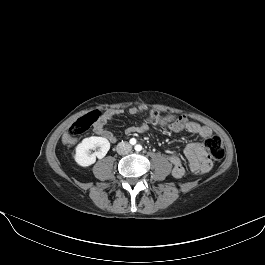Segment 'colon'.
<instances>
[{
	"mask_svg": "<svg viewBox=\"0 0 265 265\" xmlns=\"http://www.w3.org/2000/svg\"><path fill=\"white\" fill-rule=\"evenodd\" d=\"M102 116L100 111L89 112L80 118H78L68 129L65 142L72 144L75 140L87 132ZM148 119L151 123H175L180 120L177 115H163L158 111L152 110L148 114ZM205 149L210 156L216 160L222 159L225 155V148L221 138L217 135H213L206 139Z\"/></svg>",
	"mask_w": 265,
	"mask_h": 265,
	"instance_id": "colon-1",
	"label": "colon"
}]
</instances>
